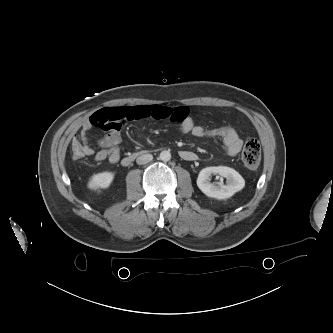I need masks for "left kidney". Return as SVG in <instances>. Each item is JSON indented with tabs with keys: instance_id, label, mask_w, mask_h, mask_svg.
I'll use <instances>...</instances> for the list:
<instances>
[{
	"instance_id": "left-kidney-1",
	"label": "left kidney",
	"mask_w": 333,
	"mask_h": 333,
	"mask_svg": "<svg viewBox=\"0 0 333 333\" xmlns=\"http://www.w3.org/2000/svg\"><path fill=\"white\" fill-rule=\"evenodd\" d=\"M219 174L227 179V184L222 182L212 184L210 176ZM197 186L208 197L216 199H227L233 196L236 192L242 190L245 186L243 177L234 169L226 166L206 167L202 169L197 178Z\"/></svg>"
}]
</instances>
